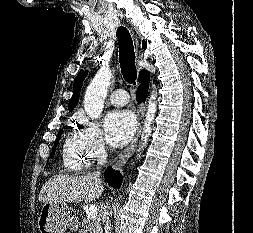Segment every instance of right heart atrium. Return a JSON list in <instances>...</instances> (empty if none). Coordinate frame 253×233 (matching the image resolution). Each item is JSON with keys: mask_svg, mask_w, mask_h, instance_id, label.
I'll return each mask as SVG.
<instances>
[{"mask_svg": "<svg viewBox=\"0 0 253 233\" xmlns=\"http://www.w3.org/2000/svg\"><path fill=\"white\" fill-rule=\"evenodd\" d=\"M77 132L83 139L90 158L100 161L107 154V145L99 125L83 115L76 118Z\"/></svg>", "mask_w": 253, "mask_h": 233, "instance_id": "obj_1", "label": "right heart atrium"}]
</instances>
